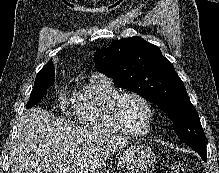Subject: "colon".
Returning <instances> with one entry per match:
<instances>
[{"label": "colon", "instance_id": "5ec220e1", "mask_svg": "<svg viewBox=\"0 0 219 173\" xmlns=\"http://www.w3.org/2000/svg\"><path fill=\"white\" fill-rule=\"evenodd\" d=\"M172 173H186L187 167L184 162L182 161H175L171 165Z\"/></svg>", "mask_w": 219, "mask_h": 173}]
</instances>
